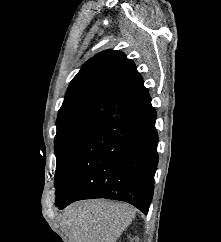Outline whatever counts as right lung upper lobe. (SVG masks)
Instances as JSON below:
<instances>
[{
  "label": "right lung upper lobe",
  "instance_id": "1",
  "mask_svg": "<svg viewBox=\"0 0 221 242\" xmlns=\"http://www.w3.org/2000/svg\"><path fill=\"white\" fill-rule=\"evenodd\" d=\"M147 92L134 62L124 53L100 52L82 66L69 84L56 126L102 123Z\"/></svg>",
  "mask_w": 221,
  "mask_h": 242
}]
</instances>
